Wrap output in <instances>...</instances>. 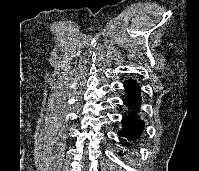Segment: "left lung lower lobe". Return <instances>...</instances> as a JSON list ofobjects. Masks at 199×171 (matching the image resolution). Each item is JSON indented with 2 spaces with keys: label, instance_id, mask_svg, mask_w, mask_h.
<instances>
[{
  "label": "left lung lower lobe",
  "instance_id": "left-lung-lower-lobe-1",
  "mask_svg": "<svg viewBox=\"0 0 199 171\" xmlns=\"http://www.w3.org/2000/svg\"><path fill=\"white\" fill-rule=\"evenodd\" d=\"M124 88L126 91V97L123 99V101L128 107L129 112L123 116V128L118 132V135L125 137V139H119L120 143L123 146L130 147L132 145L131 141L133 142L141 138L145 124L139 116L142 101L139 84L130 78L124 81Z\"/></svg>",
  "mask_w": 199,
  "mask_h": 171
}]
</instances>
